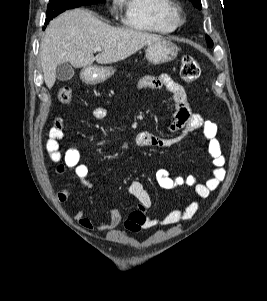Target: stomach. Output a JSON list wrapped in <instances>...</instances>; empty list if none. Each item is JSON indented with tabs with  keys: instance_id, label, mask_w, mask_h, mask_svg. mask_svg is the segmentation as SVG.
<instances>
[{
	"instance_id": "1",
	"label": "stomach",
	"mask_w": 267,
	"mask_h": 301,
	"mask_svg": "<svg viewBox=\"0 0 267 301\" xmlns=\"http://www.w3.org/2000/svg\"><path fill=\"white\" fill-rule=\"evenodd\" d=\"M178 47L170 40L160 39L147 45L146 58L152 64L173 61L178 54ZM115 72L112 67L93 66L85 69V80L89 83H101L109 79Z\"/></svg>"
}]
</instances>
